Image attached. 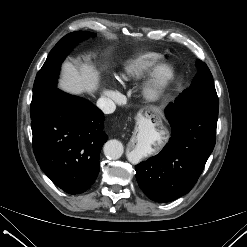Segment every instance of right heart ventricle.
Returning <instances> with one entry per match:
<instances>
[{
    "instance_id": "1",
    "label": "right heart ventricle",
    "mask_w": 247,
    "mask_h": 247,
    "mask_svg": "<svg viewBox=\"0 0 247 247\" xmlns=\"http://www.w3.org/2000/svg\"><path fill=\"white\" fill-rule=\"evenodd\" d=\"M161 54L156 52H143L128 60L119 72L121 81L128 82L139 79L150 71L160 60Z\"/></svg>"
}]
</instances>
